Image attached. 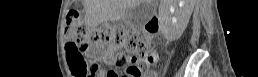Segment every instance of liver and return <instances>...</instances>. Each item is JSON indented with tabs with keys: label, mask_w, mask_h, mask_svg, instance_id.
I'll return each mask as SVG.
<instances>
[{
	"label": "liver",
	"mask_w": 258,
	"mask_h": 77,
	"mask_svg": "<svg viewBox=\"0 0 258 77\" xmlns=\"http://www.w3.org/2000/svg\"><path fill=\"white\" fill-rule=\"evenodd\" d=\"M145 0H84L83 5L85 8V22L90 26H98L105 21H117L122 19L128 12V10L136 7L138 4ZM150 3L154 0H146ZM186 3L193 5L194 0H185ZM178 0H161V5H173L176 6ZM182 12L181 22L186 23L189 19V9Z\"/></svg>",
	"instance_id": "6515ba94"
}]
</instances>
